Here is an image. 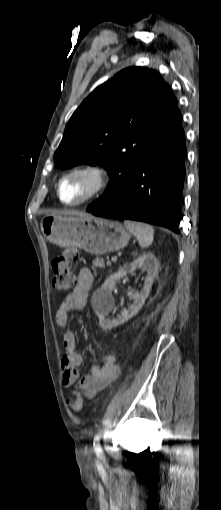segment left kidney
<instances>
[{"instance_id":"obj_1","label":"left kidney","mask_w":221,"mask_h":510,"mask_svg":"<svg viewBox=\"0 0 221 510\" xmlns=\"http://www.w3.org/2000/svg\"><path fill=\"white\" fill-rule=\"evenodd\" d=\"M137 268L147 272L142 290L135 293L132 291L128 292V296L134 300L133 304L130 305L128 309H123L116 319L110 320L107 316L114 309L115 301L112 296V291L117 281ZM158 268L159 262L155 255L151 252L144 253L133 262L125 264L116 273L111 274L106 279L104 284L93 294L91 299L93 310L98 316L100 327L103 330H109L121 325L139 312L150 293L153 280L158 273Z\"/></svg>"}]
</instances>
